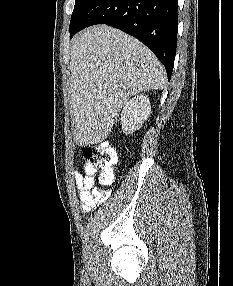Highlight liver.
Wrapping results in <instances>:
<instances>
[{"instance_id": "liver-1", "label": "liver", "mask_w": 233, "mask_h": 286, "mask_svg": "<svg viewBox=\"0 0 233 286\" xmlns=\"http://www.w3.org/2000/svg\"><path fill=\"white\" fill-rule=\"evenodd\" d=\"M70 56L74 140L81 146L104 141L130 97L166 84L165 69L155 55L107 25L75 36Z\"/></svg>"}]
</instances>
